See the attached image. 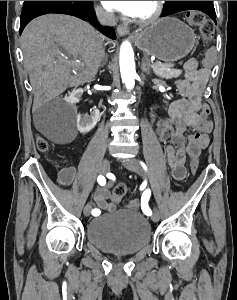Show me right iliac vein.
I'll list each match as a JSON object with an SVG mask.
<instances>
[{"label":"right iliac vein","instance_id":"1","mask_svg":"<svg viewBox=\"0 0 237 300\" xmlns=\"http://www.w3.org/2000/svg\"><path fill=\"white\" fill-rule=\"evenodd\" d=\"M110 169V162L107 158H105L102 162H101V165H100V173L101 174H106ZM92 210V204L91 203H88L85 207H84V210H83V213L85 216H89L90 215V212Z\"/></svg>","mask_w":237,"mask_h":300}]
</instances>
